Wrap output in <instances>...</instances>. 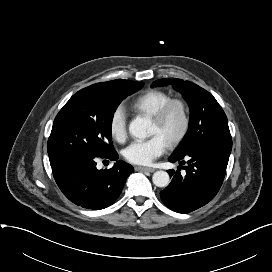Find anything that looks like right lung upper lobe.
Instances as JSON below:
<instances>
[{"instance_id":"obj_1","label":"right lung upper lobe","mask_w":272,"mask_h":272,"mask_svg":"<svg viewBox=\"0 0 272 272\" xmlns=\"http://www.w3.org/2000/svg\"><path fill=\"white\" fill-rule=\"evenodd\" d=\"M124 80H112V81H108V82H102V83H97V84H94V85H91L89 87H86L84 89L86 90H93V91H97V92H111V91H114L116 90L120 85L121 83L123 82Z\"/></svg>"}]
</instances>
